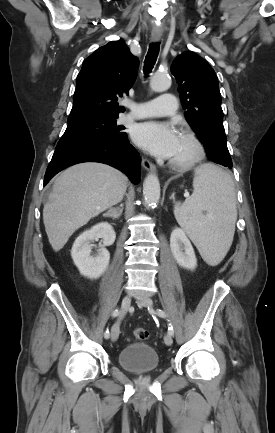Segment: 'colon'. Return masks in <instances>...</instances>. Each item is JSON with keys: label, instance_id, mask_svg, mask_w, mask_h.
Segmentation results:
<instances>
[{"label": "colon", "instance_id": "obj_1", "mask_svg": "<svg viewBox=\"0 0 275 433\" xmlns=\"http://www.w3.org/2000/svg\"><path fill=\"white\" fill-rule=\"evenodd\" d=\"M134 336L136 339L143 341L148 339L149 332L145 328L138 327L134 329Z\"/></svg>", "mask_w": 275, "mask_h": 433}]
</instances>
